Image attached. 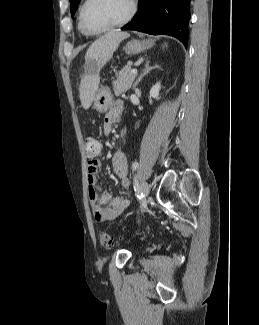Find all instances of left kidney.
<instances>
[{
  "label": "left kidney",
  "instance_id": "left-kidney-1",
  "mask_svg": "<svg viewBox=\"0 0 259 325\" xmlns=\"http://www.w3.org/2000/svg\"><path fill=\"white\" fill-rule=\"evenodd\" d=\"M160 89H161L160 82L156 83L150 90V96L158 100Z\"/></svg>",
  "mask_w": 259,
  "mask_h": 325
}]
</instances>
